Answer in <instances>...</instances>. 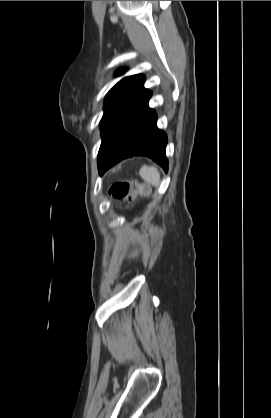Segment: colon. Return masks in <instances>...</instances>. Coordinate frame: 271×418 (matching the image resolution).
I'll return each instance as SVG.
<instances>
[{"instance_id":"5ec220e1","label":"colon","mask_w":271,"mask_h":418,"mask_svg":"<svg viewBox=\"0 0 271 418\" xmlns=\"http://www.w3.org/2000/svg\"><path fill=\"white\" fill-rule=\"evenodd\" d=\"M148 192V188L138 182H119L113 185L109 191L110 196L117 200L123 201L130 199L134 194L145 195Z\"/></svg>"}]
</instances>
